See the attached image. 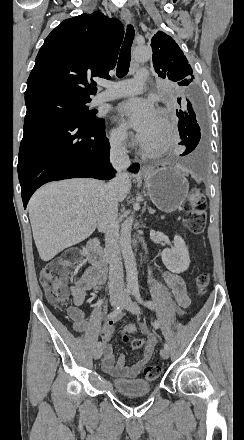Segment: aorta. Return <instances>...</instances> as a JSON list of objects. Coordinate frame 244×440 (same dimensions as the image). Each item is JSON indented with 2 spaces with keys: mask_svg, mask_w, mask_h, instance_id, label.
I'll list each match as a JSON object with an SVG mask.
<instances>
[{
  "mask_svg": "<svg viewBox=\"0 0 244 440\" xmlns=\"http://www.w3.org/2000/svg\"><path fill=\"white\" fill-rule=\"evenodd\" d=\"M151 55V50L146 47H137L133 53L137 61H147ZM132 224L133 216H130L123 222L120 235V248L126 269V281L130 287L138 284L136 261L131 247Z\"/></svg>",
  "mask_w": 244,
  "mask_h": 440,
  "instance_id": "aorta-1",
  "label": "aorta"
}]
</instances>
